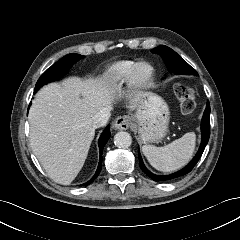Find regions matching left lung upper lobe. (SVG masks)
<instances>
[{
  "label": "left lung upper lobe",
  "mask_w": 240,
  "mask_h": 240,
  "mask_svg": "<svg viewBox=\"0 0 240 240\" xmlns=\"http://www.w3.org/2000/svg\"><path fill=\"white\" fill-rule=\"evenodd\" d=\"M154 54H159L167 64V67L177 74H194L197 75L187 62H185L175 51L171 48L161 45L151 50Z\"/></svg>",
  "instance_id": "obj_1"
}]
</instances>
